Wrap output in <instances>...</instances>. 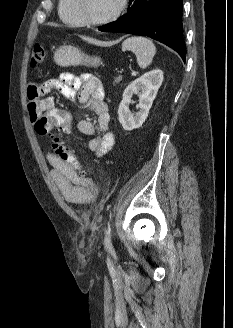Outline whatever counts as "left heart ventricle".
Instances as JSON below:
<instances>
[{"label": "left heart ventricle", "mask_w": 233, "mask_h": 328, "mask_svg": "<svg viewBox=\"0 0 233 328\" xmlns=\"http://www.w3.org/2000/svg\"><path fill=\"white\" fill-rule=\"evenodd\" d=\"M120 0H83V11L92 20H101L112 15Z\"/></svg>", "instance_id": "obj_1"}]
</instances>
